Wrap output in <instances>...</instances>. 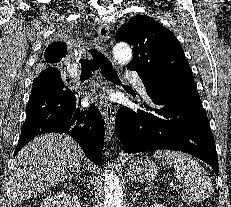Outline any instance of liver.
Here are the masks:
<instances>
[{"label":"liver","instance_id":"6515ba94","mask_svg":"<svg viewBox=\"0 0 231 207\" xmlns=\"http://www.w3.org/2000/svg\"><path fill=\"white\" fill-rule=\"evenodd\" d=\"M81 147L65 134H44L24 146L10 174L13 206L71 177L84 159Z\"/></svg>","mask_w":231,"mask_h":207}]
</instances>
